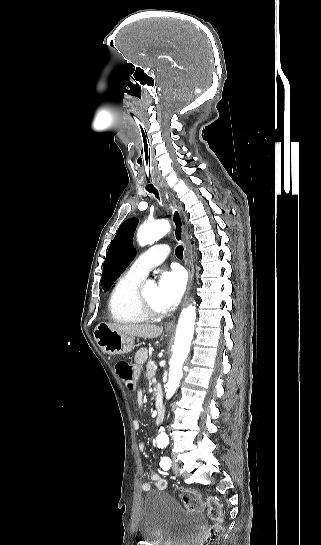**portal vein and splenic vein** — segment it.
Returning <instances> with one entry per match:
<instances>
[{
    "label": "portal vein and splenic vein",
    "instance_id": "18ae733b",
    "mask_svg": "<svg viewBox=\"0 0 321 545\" xmlns=\"http://www.w3.org/2000/svg\"><path fill=\"white\" fill-rule=\"evenodd\" d=\"M153 370H157V365H154Z\"/></svg>",
    "mask_w": 321,
    "mask_h": 545
}]
</instances>
